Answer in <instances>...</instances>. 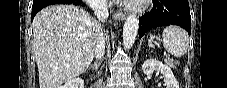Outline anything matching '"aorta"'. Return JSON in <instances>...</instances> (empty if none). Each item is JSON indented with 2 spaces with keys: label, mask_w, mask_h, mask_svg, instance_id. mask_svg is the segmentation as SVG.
Wrapping results in <instances>:
<instances>
[{
  "label": "aorta",
  "mask_w": 227,
  "mask_h": 88,
  "mask_svg": "<svg viewBox=\"0 0 227 88\" xmlns=\"http://www.w3.org/2000/svg\"><path fill=\"white\" fill-rule=\"evenodd\" d=\"M139 21L135 15L127 17L123 26V44L126 48H131L138 34Z\"/></svg>",
  "instance_id": "aorta-1"
}]
</instances>
